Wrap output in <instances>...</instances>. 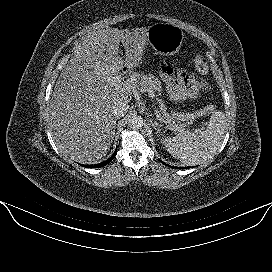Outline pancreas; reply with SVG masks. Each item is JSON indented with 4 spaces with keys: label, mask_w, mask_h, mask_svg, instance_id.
Returning a JSON list of instances; mask_svg holds the SVG:
<instances>
[{
    "label": "pancreas",
    "mask_w": 272,
    "mask_h": 272,
    "mask_svg": "<svg viewBox=\"0 0 272 272\" xmlns=\"http://www.w3.org/2000/svg\"><path fill=\"white\" fill-rule=\"evenodd\" d=\"M138 87L140 90L146 91L147 89H152L156 91L159 95L162 92L161 81L158 80L152 74L141 76V80L138 82ZM159 104V114L164 119L167 127L173 131L183 132L186 130L189 122L181 123L180 121H191L192 114L190 113H175L169 114L167 112V107L162 99H158Z\"/></svg>",
    "instance_id": "obj_1"
}]
</instances>
